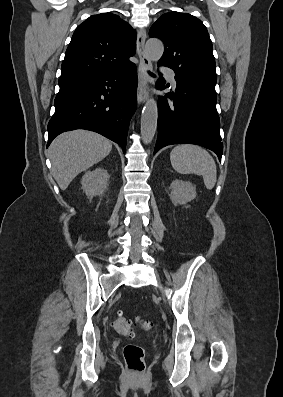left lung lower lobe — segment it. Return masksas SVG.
I'll return each mask as SVG.
<instances>
[{
	"instance_id": "left-lung-lower-lobe-1",
	"label": "left lung lower lobe",
	"mask_w": 283,
	"mask_h": 397,
	"mask_svg": "<svg viewBox=\"0 0 283 397\" xmlns=\"http://www.w3.org/2000/svg\"><path fill=\"white\" fill-rule=\"evenodd\" d=\"M176 83L175 93L158 98V138L154 154L167 145L189 143L212 150L221 161L223 143L216 94L177 79ZM166 86L163 78L156 83L160 90Z\"/></svg>"
}]
</instances>
